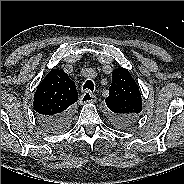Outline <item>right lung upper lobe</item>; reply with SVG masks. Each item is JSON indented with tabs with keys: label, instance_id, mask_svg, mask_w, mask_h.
Instances as JSON below:
<instances>
[{
	"label": "right lung upper lobe",
	"instance_id": "cb5924a9",
	"mask_svg": "<svg viewBox=\"0 0 184 184\" xmlns=\"http://www.w3.org/2000/svg\"><path fill=\"white\" fill-rule=\"evenodd\" d=\"M77 99L75 83L63 70L52 69L37 87L33 107L37 117H53L67 112Z\"/></svg>",
	"mask_w": 184,
	"mask_h": 184
}]
</instances>
